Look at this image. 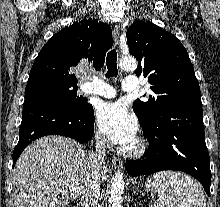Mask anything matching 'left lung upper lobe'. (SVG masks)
<instances>
[{
    "instance_id": "5c2ea615",
    "label": "left lung upper lobe",
    "mask_w": 220,
    "mask_h": 207,
    "mask_svg": "<svg viewBox=\"0 0 220 207\" xmlns=\"http://www.w3.org/2000/svg\"><path fill=\"white\" fill-rule=\"evenodd\" d=\"M129 52L138 60L136 75L148 78V101L136 100L133 110L147 130L177 105L201 102L200 87L189 55L171 33L149 21L137 20L127 30Z\"/></svg>"
}]
</instances>
